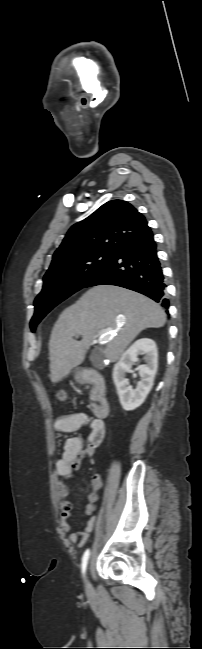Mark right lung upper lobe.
Returning a JSON list of instances; mask_svg holds the SVG:
<instances>
[{
    "label": "right lung upper lobe",
    "mask_w": 202,
    "mask_h": 649,
    "mask_svg": "<svg viewBox=\"0 0 202 649\" xmlns=\"http://www.w3.org/2000/svg\"><path fill=\"white\" fill-rule=\"evenodd\" d=\"M149 230L145 217L130 203L123 200L109 201L69 229L55 251L48 271L61 262L86 252L115 253L124 244Z\"/></svg>",
    "instance_id": "right-lung-upper-lobe-1"
}]
</instances>
